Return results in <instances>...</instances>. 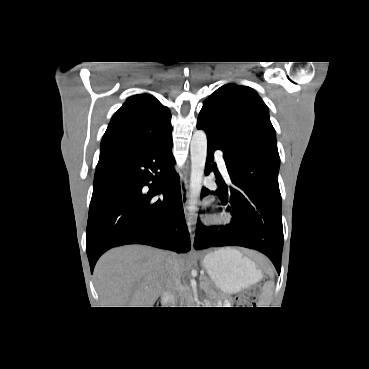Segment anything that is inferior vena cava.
<instances>
[{"mask_svg": "<svg viewBox=\"0 0 369 369\" xmlns=\"http://www.w3.org/2000/svg\"><path fill=\"white\" fill-rule=\"evenodd\" d=\"M167 268H168V278L166 281L164 292L166 296L169 297L173 291V288L179 285L180 280L177 277L176 266L174 265V262L171 257H168L167 259Z\"/></svg>", "mask_w": 369, "mask_h": 369, "instance_id": "inferior-vena-cava-1", "label": "inferior vena cava"}]
</instances>
